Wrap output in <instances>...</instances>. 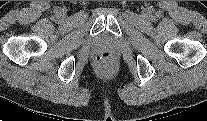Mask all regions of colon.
<instances>
[{
	"mask_svg": "<svg viewBox=\"0 0 207 121\" xmlns=\"http://www.w3.org/2000/svg\"><path fill=\"white\" fill-rule=\"evenodd\" d=\"M95 65L102 73H108L116 67V58L110 52H102L96 56Z\"/></svg>",
	"mask_w": 207,
	"mask_h": 121,
	"instance_id": "1",
	"label": "colon"
}]
</instances>
